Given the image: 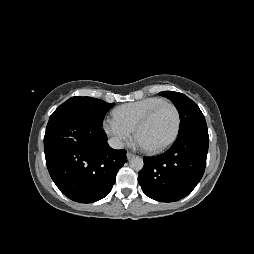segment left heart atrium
Instances as JSON below:
<instances>
[{"label": "left heart atrium", "mask_w": 254, "mask_h": 254, "mask_svg": "<svg viewBox=\"0 0 254 254\" xmlns=\"http://www.w3.org/2000/svg\"><path fill=\"white\" fill-rule=\"evenodd\" d=\"M137 144L140 145V146H142V147H145L144 144H143V142H142V140L139 139V138H137Z\"/></svg>", "instance_id": "39dd6f15"}]
</instances>
